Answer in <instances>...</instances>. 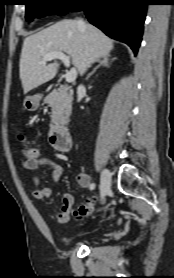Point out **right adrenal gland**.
<instances>
[{
  "mask_svg": "<svg viewBox=\"0 0 174 278\" xmlns=\"http://www.w3.org/2000/svg\"><path fill=\"white\" fill-rule=\"evenodd\" d=\"M99 64L93 69V71L91 73L88 74V76L86 77V80L89 79L95 72L96 70L103 66V67H109L111 65V61L109 56H105L103 57L101 60L98 61Z\"/></svg>",
  "mask_w": 174,
  "mask_h": 278,
  "instance_id": "2a0ac1e0",
  "label": "right adrenal gland"
}]
</instances>
